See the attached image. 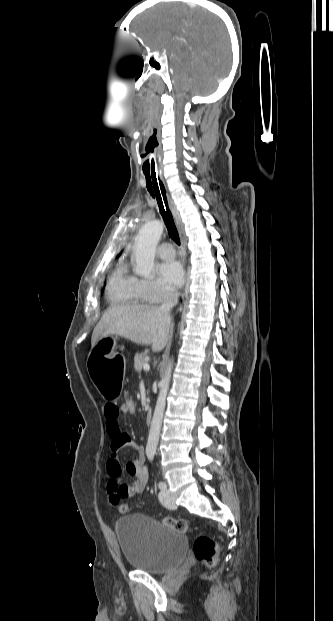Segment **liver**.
Segmentation results:
<instances>
[{
    "mask_svg": "<svg viewBox=\"0 0 333 621\" xmlns=\"http://www.w3.org/2000/svg\"><path fill=\"white\" fill-rule=\"evenodd\" d=\"M171 328V319L157 306H114L94 328L91 345L102 337L116 335L136 344H151L154 352H160L167 344Z\"/></svg>",
    "mask_w": 333,
    "mask_h": 621,
    "instance_id": "6515ba94",
    "label": "liver"
}]
</instances>
